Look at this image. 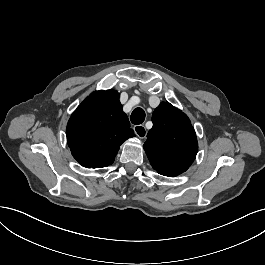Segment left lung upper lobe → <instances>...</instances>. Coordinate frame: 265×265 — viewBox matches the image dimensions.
<instances>
[{"mask_svg": "<svg viewBox=\"0 0 265 265\" xmlns=\"http://www.w3.org/2000/svg\"><path fill=\"white\" fill-rule=\"evenodd\" d=\"M152 122L143 145L152 167L164 176L182 174L198 151L196 133L189 118L172 104L162 102L154 110Z\"/></svg>", "mask_w": 265, "mask_h": 265, "instance_id": "left-lung-upper-lobe-1", "label": "left lung upper lobe"}]
</instances>
